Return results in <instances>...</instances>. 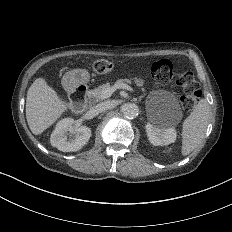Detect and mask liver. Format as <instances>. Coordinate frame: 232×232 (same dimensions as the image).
I'll return each instance as SVG.
<instances>
[{
	"instance_id": "6515ba94",
	"label": "liver",
	"mask_w": 232,
	"mask_h": 232,
	"mask_svg": "<svg viewBox=\"0 0 232 232\" xmlns=\"http://www.w3.org/2000/svg\"><path fill=\"white\" fill-rule=\"evenodd\" d=\"M71 104L61 101L43 78L36 79L27 92L26 119L33 134L50 127Z\"/></svg>"
}]
</instances>
